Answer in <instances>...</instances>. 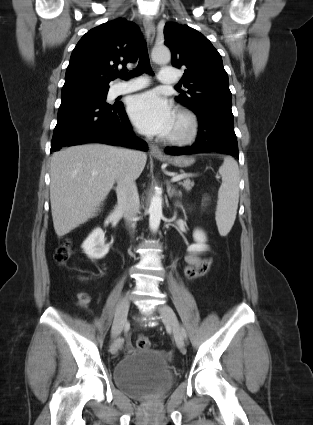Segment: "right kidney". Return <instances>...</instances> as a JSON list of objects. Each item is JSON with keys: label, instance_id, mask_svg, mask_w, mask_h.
<instances>
[{"label": "right kidney", "instance_id": "ca27d5eb", "mask_svg": "<svg viewBox=\"0 0 313 425\" xmlns=\"http://www.w3.org/2000/svg\"><path fill=\"white\" fill-rule=\"evenodd\" d=\"M82 248L90 258L100 259L109 252V245L105 244V234L101 228H96L86 238Z\"/></svg>", "mask_w": 313, "mask_h": 425}]
</instances>
